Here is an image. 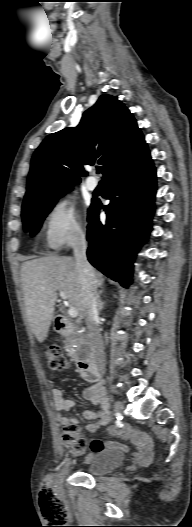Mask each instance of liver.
Listing matches in <instances>:
<instances>
[{"label":"liver","instance_id":"6515ba94","mask_svg":"<svg viewBox=\"0 0 192 527\" xmlns=\"http://www.w3.org/2000/svg\"><path fill=\"white\" fill-rule=\"evenodd\" d=\"M94 274L96 289L102 288V274L95 270ZM21 283L26 315L40 343L46 339L53 319L57 291H63L67 295L80 319L86 318L75 258L50 255L25 261L21 266Z\"/></svg>","mask_w":192,"mask_h":527}]
</instances>
